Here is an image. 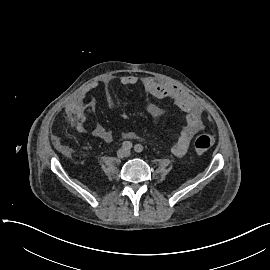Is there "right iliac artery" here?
I'll return each instance as SVG.
<instances>
[{"label": "right iliac artery", "instance_id": "obj_1", "mask_svg": "<svg viewBox=\"0 0 270 270\" xmlns=\"http://www.w3.org/2000/svg\"><path fill=\"white\" fill-rule=\"evenodd\" d=\"M122 147L125 149H131L133 147V144L130 141H124L122 143Z\"/></svg>", "mask_w": 270, "mask_h": 270}]
</instances>
